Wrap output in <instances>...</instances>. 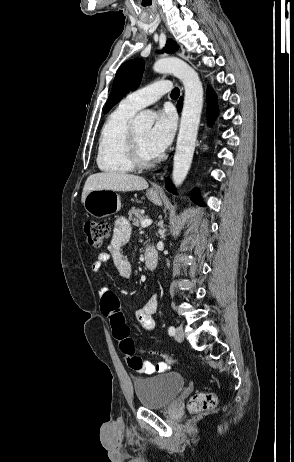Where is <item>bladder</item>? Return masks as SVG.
I'll use <instances>...</instances> for the list:
<instances>
[{"label": "bladder", "mask_w": 294, "mask_h": 462, "mask_svg": "<svg viewBox=\"0 0 294 462\" xmlns=\"http://www.w3.org/2000/svg\"><path fill=\"white\" fill-rule=\"evenodd\" d=\"M134 391L139 403L149 409H159L172 404L185 388V378L174 372H163L134 381Z\"/></svg>", "instance_id": "bladder-1"}]
</instances>
